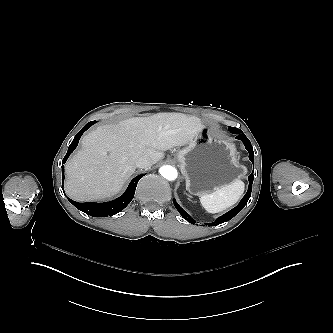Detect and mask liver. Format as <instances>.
I'll list each match as a JSON object with an SVG mask.
<instances>
[{"label":"liver","mask_w":333,"mask_h":333,"mask_svg":"<svg viewBox=\"0 0 333 333\" xmlns=\"http://www.w3.org/2000/svg\"><path fill=\"white\" fill-rule=\"evenodd\" d=\"M204 127L200 118L175 112L99 126L82 138V149L66 163L65 191L81 202L114 196L140 157L155 164L163 151L189 144Z\"/></svg>","instance_id":"obj_1"}]
</instances>
